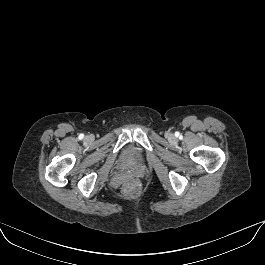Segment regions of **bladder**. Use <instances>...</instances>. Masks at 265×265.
Masks as SVG:
<instances>
[{
  "mask_svg": "<svg viewBox=\"0 0 265 265\" xmlns=\"http://www.w3.org/2000/svg\"><path fill=\"white\" fill-rule=\"evenodd\" d=\"M121 158L124 164H136L143 160V155L137 146L129 145L124 149Z\"/></svg>",
  "mask_w": 265,
  "mask_h": 265,
  "instance_id": "31cf9c89",
  "label": "bladder"
}]
</instances>
